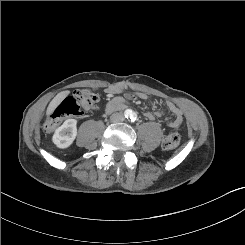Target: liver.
<instances>
[{
	"label": "liver",
	"mask_w": 245,
	"mask_h": 245,
	"mask_svg": "<svg viewBox=\"0 0 245 245\" xmlns=\"http://www.w3.org/2000/svg\"><path fill=\"white\" fill-rule=\"evenodd\" d=\"M69 93L70 91L68 90L58 93L49 103L46 114H51L55 110V108L69 95Z\"/></svg>",
	"instance_id": "liver-1"
}]
</instances>
